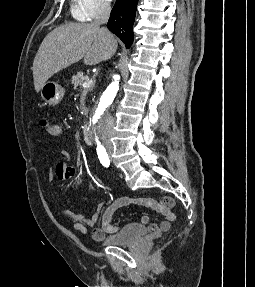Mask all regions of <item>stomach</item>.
Masks as SVG:
<instances>
[{
    "label": "stomach",
    "mask_w": 255,
    "mask_h": 287,
    "mask_svg": "<svg viewBox=\"0 0 255 287\" xmlns=\"http://www.w3.org/2000/svg\"><path fill=\"white\" fill-rule=\"evenodd\" d=\"M40 92L42 100L48 106H57V104H60L62 98H64V90L56 82H45Z\"/></svg>",
    "instance_id": "0dacf381"
}]
</instances>
